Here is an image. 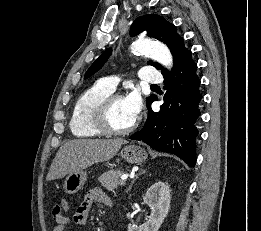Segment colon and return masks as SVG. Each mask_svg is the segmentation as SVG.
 <instances>
[{
    "label": "colon",
    "mask_w": 261,
    "mask_h": 231,
    "mask_svg": "<svg viewBox=\"0 0 261 231\" xmlns=\"http://www.w3.org/2000/svg\"><path fill=\"white\" fill-rule=\"evenodd\" d=\"M63 209H67L68 208V205L65 203V204H63Z\"/></svg>",
    "instance_id": "colon-1"
}]
</instances>
